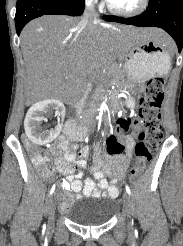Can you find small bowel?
Masks as SVG:
<instances>
[{"mask_svg":"<svg viewBox=\"0 0 183 246\" xmlns=\"http://www.w3.org/2000/svg\"><path fill=\"white\" fill-rule=\"evenodd\" d=\"M80 133L84 132L80 131ZM70 139L61 136L57 140V144L52 148V153L57 159V167L59 172L65 175V179L61 182V187L64 190H71L76 194V198H82L96 194V187L106 189L108 195L116 197L118 195V188L115 185V181L120 179L126 171L132 152L135 146V137L133 135H126L124 138H118L123 147L127 148L124 152V157H108L101 153V151L95 150V163L92 167L93 177L89 178L82 183L81 179L84 176L82 171L76 172L78 168H85L87 166V159L90 151L87 147L79 150L76 158V144H70ZM104 173H107L112 183L109 184L105 178ZM72 201V197L69 194L61 195V207L63 210L67 209Z\"/></svg>","mask_w":183,"mask_h":246,"instance_id":"1","label":"small bowel"}]
</instances>
